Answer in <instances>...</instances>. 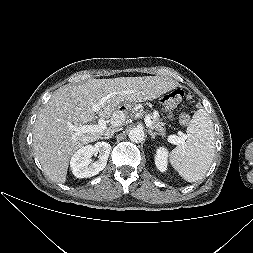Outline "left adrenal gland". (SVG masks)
Wrapping results in <instances>:
<instances>
[{
  "label": "left adrenal gland",
  "mask_w": 253,
  "mask_h": 253,
  "mask_svg": "<svg viewBox=\"0 0 253 253\" xmlns=\"http://www.w3.org/2000/svg\"><path fill=\"white\" fill-rule=\"evenodd\" d=\"M149 135L151 136V139H154L157 133L153 132L152 130H148Z\"/></svg>",
  "instance_id": "obj_1"
}]
</instances>
